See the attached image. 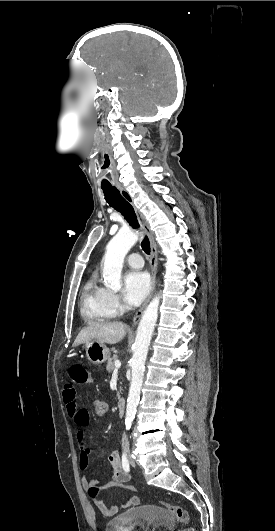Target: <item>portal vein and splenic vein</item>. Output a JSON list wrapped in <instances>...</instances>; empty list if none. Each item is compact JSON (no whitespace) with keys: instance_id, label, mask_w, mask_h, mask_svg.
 <instances>
[{"instance_id":"obj_1","label":"portal vein and splenic vein","mask_w":275,"mask_h":531,"mask_svg":"<svg viewBox=\"0 0 275 531\" xmlns=\"http://www.w3.org/2000/svg\"><path fill=\"white\" fill-rule=\"evenodd\" d=\"M121 363L120 361H115V369H120Z\"/></svg>"}]
</instances>
